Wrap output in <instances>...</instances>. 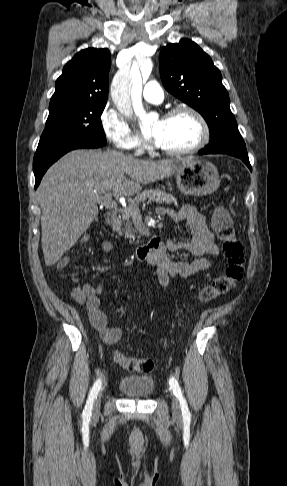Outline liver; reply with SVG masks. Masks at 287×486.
Listing matches in <instances>:
<instances>
[{
	"mask_svg": "<svg viewBox=\"0 0 287 486\" xmlns=\"http://www.w3.org/2000/svg\"><path fill=\"white\" fill-rule=\"evenodd\" d=\"M190 159L139 160L99 150L64 155L47 170L37 191L46 266L56 264L89 228L103 194L130 197L142 185L177 173Z\"/></svg>",
	"mask_w": 287,
	"mask_h": 486,
	"instance_id": "liver-1",
	"label": "liver"
}]
</instances>
